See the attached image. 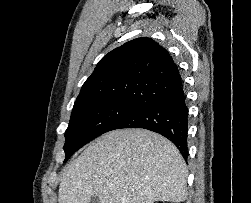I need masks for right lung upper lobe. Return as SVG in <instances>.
Masks as SVG:
<instances>
[{
  "label": "right lung upper lobe",
  "instance_id": "1",
  "mask_svg": "<svg viewBox=\"0 0 251 203\" xmlns=\"http://www.w3.org/2000/svg\"><path fill=\"white\" fill-rule=\"evenodd\" d=\"M182 85L170 54L150 38L126 42L104 56L75 104L119 102L145 106Z\"/></svg>",
  "mask_w": 251,
  "mask_h": 203
}]
</instances>
